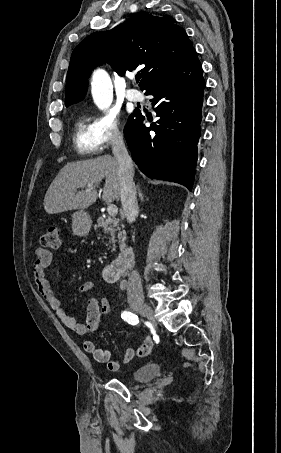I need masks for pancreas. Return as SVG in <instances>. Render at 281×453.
I'll return each mask as SVG.
<instances>
[{
  "mask_svg": "<svg viewBox=\"0 0 281 453\" xmlns=\"http://www.w3.org/2000/svg\"><path fill=\"white\" fill-rule=\"evenodd\" d=\"M97 222V227H101L105 233H110V243H115V231H118V239H120V241L126 239L124 224H121L119 218H110V216H108V218H103V216H100V218H97Z\"/></svg>",
  "mask_w": 281,
  "mask_h": 453,
  "instance_id": "cf45deb5",
  "label": "pancreas"
}]
</instances>
